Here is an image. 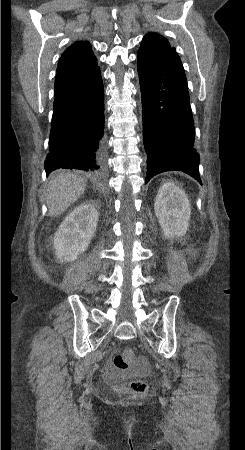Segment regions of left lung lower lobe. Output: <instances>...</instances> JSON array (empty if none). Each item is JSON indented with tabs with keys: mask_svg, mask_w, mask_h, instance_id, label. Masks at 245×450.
<instances>
[{
	"mask_svg": "<svg viewBox=\"0 0 245 450\" xmlns=\"http://www.w3.org/2000/svg\"><path fill=\"white\" fill-rule=\"evenodd\" d=\"M142 98L147 183L165 171H182L202 184L188 86L169 68L137 65Z\"/></svg>",
	"mask_w": 245,
	"mask_h": 450,
	"instance_id": "0a47b994",
	"label": "left lung lower lobe"
}]
</instances>
